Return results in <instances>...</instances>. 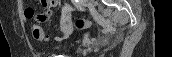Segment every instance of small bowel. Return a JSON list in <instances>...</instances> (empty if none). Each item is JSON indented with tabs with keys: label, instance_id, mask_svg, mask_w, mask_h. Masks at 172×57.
<instances>
[{
	"label": "small bowel",
	"instance_id": "small-bowel-1",
	"mask_svg": "<svg viewBox=\"0 0 172 57\" xmlns=\"http://www.w3.org/2000/svg\"><path fill=\"white\" fill-rule=\"evenodd\" d=\"M40 2L42 4V6L45 8V11L42 13H39V14H35L34 9L31 7L32 14L28 15L25 10L27 7H30V6H27L24 10V17L26 19L34 18L35 21L38 23H44V22L48 21L52 16L53 9L58 5L59 1H57V0H40ZM37 26L42 30V28L39 25H37ZM34 31H35L34 26H32L31 27L32 35H33ZM42 32H43V30H42ZM43 40H46L44 33H43L42 37L40 39H38V41H43Z\"/></svg>",
	"mask_w": 172,
	"mask_h": 57
}]
</instances>
